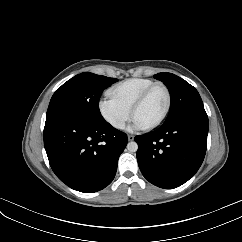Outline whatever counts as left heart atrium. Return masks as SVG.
<instances>
[{
    "label": "left heart atrium",
    "mask_w": 242,
    "mask_h": 242,
    "mask_svg": "<svg viewBox=\"0 0 242 242\" xmlns=\"http://www.w3.org/2000/svg\"><path fill=\"white\" fill-rule=\"evenodd\" d=\"M145 127L137 122L136 120H133V124L131 126V129H144Z\"/></svg>",
    "instance_id": "obj_1"
}]
</instances>
